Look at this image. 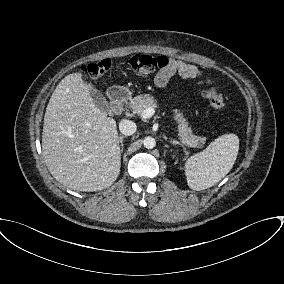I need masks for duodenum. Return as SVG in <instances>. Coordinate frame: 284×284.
Instances as JSON below:
<instances>
[{
  "label": "duodenum",
  "mask_w": 284,
  "mask_h": 284,
  "mask_svg": "<svg viewBox=\"0 0 284 284\" xmlns=\"http://www.w3.org/2000/svg\"><path fill=\"white\" fill-rule=\"evenodd\" d=\"M129 92L124 88H112L109 92L110 106L113 112L120 113L128 100Z\"/></svg>",
  "instance_id": "410a0bca"
}]
</instances>
